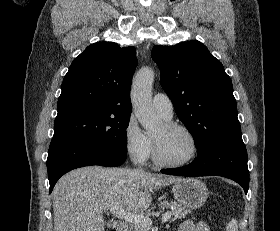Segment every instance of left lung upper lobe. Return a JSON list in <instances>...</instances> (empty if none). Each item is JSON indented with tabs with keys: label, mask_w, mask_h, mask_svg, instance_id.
Segmentation results:
<instances>
[{
	"label": "left lung upper lobe",
	"mask_w": 280,
	"mask_h": 231,
	"mask_svg": "<svg viewBox=\"0 0 280 231\" xmlns=\"http://www.w3.org/2000/svg\"><path fill=\"white\" fill-rule=\"evenodd\" d=\"M152 59L160 84L199 149L215 140L241 135L230 77L219 60L197 40L154 46Z\"/></svg>",
	"instance_id": "1"
}]
</instances>
